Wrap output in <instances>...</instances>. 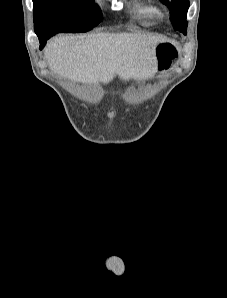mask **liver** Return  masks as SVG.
<instances>
[{"label": "liver", "instance_id": "obj_1", "mask_svg": "<svg viewBox=\"0 0 227 298\" xmlns=\"http://www.w3.org/2000/svg\"><path fill=\"white\" fill-rule=\"evenodd\" d=\"M167 39L137 33L65 35L51 39L44 51L49 68L76 82L108 84L122 80H147L157 70L155 49Z\"/></svg>", "mask_w": 227, "mask_h": 298}]
</instances>
